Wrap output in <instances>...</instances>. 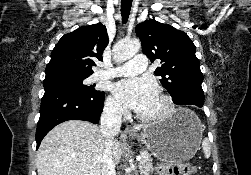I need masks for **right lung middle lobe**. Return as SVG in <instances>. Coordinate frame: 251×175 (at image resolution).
<instances>
[{
    "label": "right lung middle lobe",
    "mask_w": 251,
    "mask_h": 175,
    "mask_svg": "<svg viewBox=\"0 0 251 175\" xmlns=\"http://www.w3.org/2000/svg\"><path fill=\"white\" fill-rule=\"evenodd\" d=\"M88 76L83 77H75V76H57V77H49L44 80V88L54 85L67 86L70 88L77 89L84 93H92L95 91L93 86H87L83 84V81Z\"/></svg>",
    "instance_id": "right-lung-middle-lobe-1"
}]
</instances>
